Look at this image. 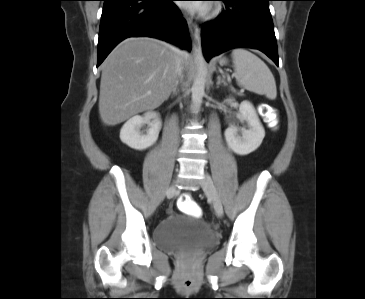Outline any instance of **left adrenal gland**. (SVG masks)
Wrapping results in <instances>:
<instances>
[{
	"instance_id": "left-adrenal-gland-1",
	"label": "left adrenal gland",
	"mask_w": 365,
	"mask_h": 299,
	"mask_svg": "<svg viewBox=\"0 0 365 299\" xmlns=\"http://www.w3.org/2000/svg\"><path fill=\"white\" fill-rule=\"evenodd\" d=\"M222 83H223V85H224V86H226V85H227L224 81H222V80H221V78H220V77H217L216 87L218 88V87H219V85H221Z\"/></svg>"
}]
</instances>
